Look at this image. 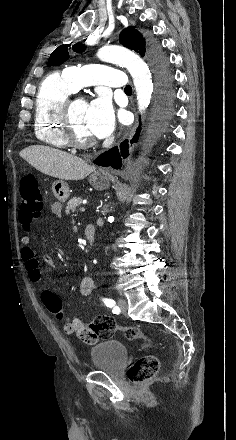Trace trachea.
<instances>
[{
	"label": "trachea",
	"instance_id": "obj_1",
	"mask_svg": "<svg viewBox=\"0 0 236 440\" xmlns=\"http://www.w3.org/2000/svg\"><path fill=\"white\" fill-rule=\"evenodd\" d=\"M125 91H132L131 86H127V87L125 88Z\"/></svg>",
	"mask_w": 236,
	"mask_h": 440
}]
</instances>
